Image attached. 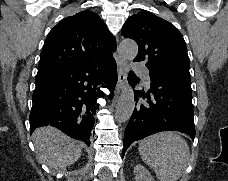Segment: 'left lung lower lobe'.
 I'll use <instances>...</instances> for the list:
<instances>
[{"label": "left lung lower lobe", "instance_id": "left-lung-lower-lobe-1", "mask_svg": "<svg viewBox=\"0 0 228 181\" xmlns=\"http://www.w3.org/2000/svg\"><path fill=\"white\" fill-rule=\"evenodd\" d=\"M146 67L151 83L149 90L135 91L136 106L124 133L123 156L134 141L157 132L174 130L192 140L195 137L190 79L162 67ZM128 79L133 86L140 81L132 71Z\"/></svg>", "mask_w": 228, "mask_h": 181}]
</instances>
